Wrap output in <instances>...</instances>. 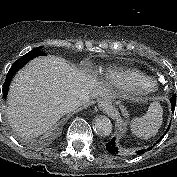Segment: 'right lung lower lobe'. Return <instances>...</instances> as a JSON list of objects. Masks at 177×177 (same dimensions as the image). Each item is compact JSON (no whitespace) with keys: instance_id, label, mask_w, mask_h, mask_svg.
I'll list each match as a JSON object with an SVG mask.
<instances>
[{"instance_id":"right-lung-lower-lobe-1","label":"right lung lower lobe","mask_w":177,"mask_h":177,"mask_svg":"<svg viewBox=\"0 0 177 177\" xmlns=\"http://www.w3.org/2000/svg\"><path fill=\"white\" fill-rule=\"evenodd\" d=\"M42 55H46L44 52L40 51V50H32L30 52H28L26 55L22 56L20 59H18L10 68L7 76H6V80L4 82L3 88H2V92H3V97L6 98L7 96V90L9 88V84L10 81L12 79V77L14 76V74L20 69L22 68L27 62H29L31 59L37 57V56H42Z\"/></svg>"}]
</instances>
